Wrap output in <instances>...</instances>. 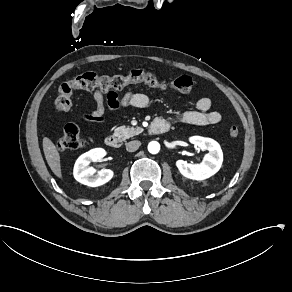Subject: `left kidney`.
Instances as JSON below:
<instances>
[{"mask_svg": "<svg viewBox=\"0 0 292 292\" xmlns=\"http://www.w3.org/2000/svg\"><path fill=\"white\" fill-rule=\"evenodd\" d=\"M191 142L200 150H208L209 153L200 164H189L185 160H177L176 167L182 176L190 180H206L215 175L221 168L223 154L219 144L209 138L192 137Z\"/></svg>", "mask_w": 292, "mask_h": 292, "instance_id": "left-kidney-1", "label": "left kidney"}]
</instances>
